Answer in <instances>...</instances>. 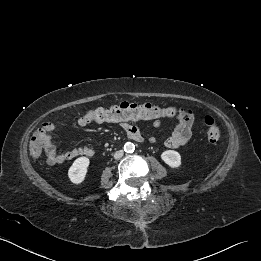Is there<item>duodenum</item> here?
Instances as JSON below:
<instances>
[{
	"mask_svg": "<svg viewBox=\"0 0 261 261\" xmlns=\"http://www.w3.org/2000/svg\"><path fill=\"white\" fill-rule=\"evenodd\" d=\"M129 138L134 140V141H137V142L143 141V137L141 136L140 133H133Z\"/></svg>",
	"mask_w": 261,
	"mask_h": 261,
	"instance_id": "obj_1",
	"label": "duodenum"
}]
</instances>
